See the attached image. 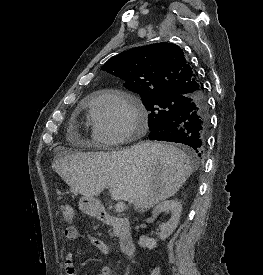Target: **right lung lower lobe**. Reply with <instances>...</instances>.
<instances>
[{"label": "right lung lower lobe", "instance_id": "98d812e1", "mask_svg": "<svg viewBox=\"0 0 263 275\" xmlns=\"http://www.w3.org/2000/svg\"><path fill=\"white\" fill-rule=\"evenodd\" d=\"M208 128L209 109L205 94L201 91L180 112L152 129L149 137L188 145L200 157L205 149Z\"/></svg>", "mask_w": 263, "mask_h": 275}]
</instances>
